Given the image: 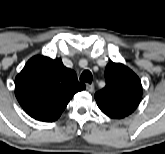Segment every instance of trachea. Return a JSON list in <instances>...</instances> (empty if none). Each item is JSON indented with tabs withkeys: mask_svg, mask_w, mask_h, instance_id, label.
Instances as JSON below:
<instances>
[{
	"mask_svg": "<svg viewBox=\"0 0 165 154\" xmlns=\"http://www.w3.org/2000/svg\"><path fill=\"white\" fill-rule=\"evenodd\" d=\"M92 78V73L89 70H84L80 76V81L91 84Z\"/></svg>",
	"mask_w": 165,
	"mask_h": 154,
	"instance_id": "1",
	"label": "trachea"
}]
</instances>
